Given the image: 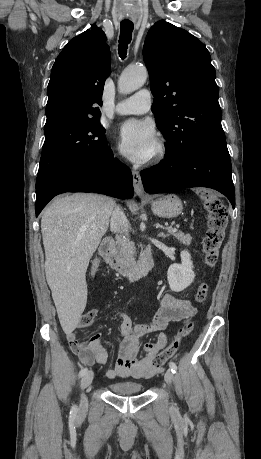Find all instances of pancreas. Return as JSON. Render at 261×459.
<instances>
[{
  "mask_svg": "<svg viewBox=\"0 0 261 459\" xmlns=\"http://www.w3.org/2000/svg\"><path fill=\"white\" fill-rule=\"evenodd\" d=\"M169 234L173 235L176 239L185 245H190L192 242V237L189 234H184L183 232L178 231H169ZM115 251L122 267H125L132 262L134 255V244L129 242L128 239L118 238L116 241Z\"/></svg>",
  "mask_w": 261,
  "mask_h": 459,
  "instance_id": "1",
  "label": "pancreas"
}]
</instances>
